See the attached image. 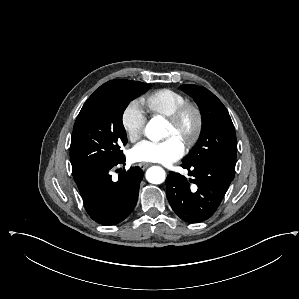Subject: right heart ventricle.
Instances as JSON below:
<instances>
[{
	"instance_id": "obj_1",
	"label": "right heart ventricle",
	"mask_w": 299,
	"mask_h": 299,
	"mask_svg": "<svg viewBox=\"0 0 299 299\" xmlns=\"http://www.w3.org/2000/svg\"><path fill=\"white\" fill-rule=\"evenodd\" d=\"M184 102H186L185 96L170 88L156 90L144 99V103L151 113L164 117L171 116Z\"/></svg>"
}]
</instances>
